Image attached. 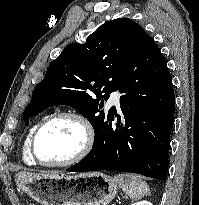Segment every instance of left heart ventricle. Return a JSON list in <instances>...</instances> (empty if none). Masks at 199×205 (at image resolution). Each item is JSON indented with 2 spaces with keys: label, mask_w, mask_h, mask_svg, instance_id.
<instances>
[{
  "label": "left heart ventricle",
  "mask_w": 199,
  "mask_h": 205,
  "mask_svg": "<svg viewBox=\"0 0 199 205\" xmlns=\"http://www.w3.org/2000/svg\"><path fill=\"white\" fill-rule=\"evenodd\" d=\"M83 142L82 127L72 119H60L48 125L38 136L36 152L45 162H59L72 157Z\"/></svg>",
  "instance_id": "left-heart-ventricle-1"
}]
</instances>
